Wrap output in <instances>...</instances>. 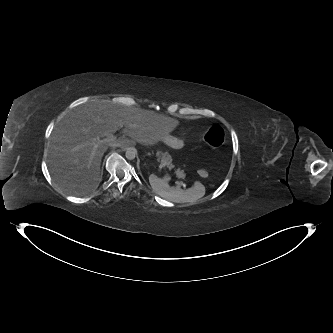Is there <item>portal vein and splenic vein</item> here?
Masks as SVG:
<instances>
[{"instance_id": "obj_1", "label": "portal vein and splenic vein", "mask_w": 333, "mask_h": 333, "mask_svg": "<svg viewBox=\"0 0 333 333\" xmlns=\"http://www.w3.org/2000/svg\"><path fill=\"white\" fill-rule=\"evenodd\" d=\"M116 137L113 135H108L107 138L105 139L106 141H110V140H114ZM176 173H178V170L175 171Z\"/></svg>"}]
</instances>
